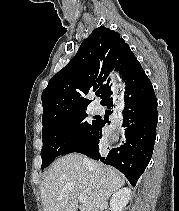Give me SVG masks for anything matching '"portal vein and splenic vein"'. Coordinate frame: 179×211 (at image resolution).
I'll use <instances>...</instances> for the list:
<instances>
[{
  "label": "portal vein and splenic vein",
  "instance_id": "1",
  "mask_svg": "<svg viewBox=\"0 0 179 211\" xmlns=\"http://www.w3.org/2000/svg\"><path fill=\"white\" fill-rule=\"evenodd\" d=\"M78 199H79V201L80 202H85V200H86V196L85 195H83V194H80L79 196H78Z\"/></svg>",
  "mask_w": 179,
  "mask_h": 211
}]
</instances>
